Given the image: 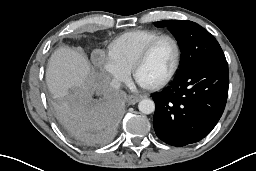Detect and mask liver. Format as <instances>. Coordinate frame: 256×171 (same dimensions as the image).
I'll list each match as a JSON object with an SVG mask.
<instances>
[{
    "mask_svg": "<svg viewBox=\"0 0 256 171\" xmlns=\"http://www.w3.org/2000/svg\"><path fill=\"white\" fill-rule=\"evenodd\" d=\"M92 81L90 65L83 54L72 48L61 47L51 55L46 82L54 98H65L71 88L86 92Z\"/></svg>",
    "mask_w": 256,
    "mask_h": 171,
    "instance_id": "liver-1",
    "label": "liver"
}]
</instances>
